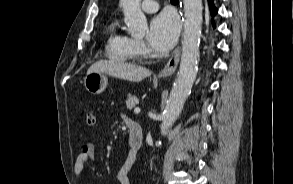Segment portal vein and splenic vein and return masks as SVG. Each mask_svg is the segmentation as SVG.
Here are the masks:
<instances>
[{
  "label": "portal vein and splenic vein",
  "mask_w": 293,
  "mask_h": 184,
  "mask_svg": "<svg viewBox=\"0 0 293 184\" xmlns=\"http://www.w3.org/2000/svg\"><path fill=\"white\" fill-rule=\"evenodd\" d=\"M140 111H141L140 108H135L134 109V113H136V114L140 113Z\"/></svg>",
  "instance_id": "obj_1"
}]
</instances>
